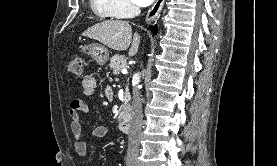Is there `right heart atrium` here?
I'll list each match as a JSON object with an SVG mask.
<instances>
[{
  "label": "right heart atrium",
  "mask_w": 277,
  "mask_h": 166,
  "mask_svg": "<svg viewBox=\"0 0 277 166\" xmlns=\"http://www.w3.org/2000/svg\"><path fill=\"white\" fill-rule=\"evenodd\" d=\"M117 16L124 17L133 14L136 10L131 0H109Z\"/></svg>",
  "instance_id": "obj_1"
}]
</instances>
